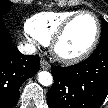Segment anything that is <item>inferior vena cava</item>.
Here are the masks:
<instances>
[{
	"label": "inferior vena cava",
	"instance_id": "602c4592",
	"mask_svg": "<svg viewBox=\"0 0 108 108\" xmlns=\"http://www.w3.org/2000/svg\"><path fill=\"white\" fill-rule=\"evenodd\" d=\"M18 50L25 55H32L35 53L36 48L34 45L28 44L26 43L25 45H23L22 43L19 44L18 46Z\"/></svg>",
	"mask_w": 108,
	"mask_h": 108
}]
</instances>
